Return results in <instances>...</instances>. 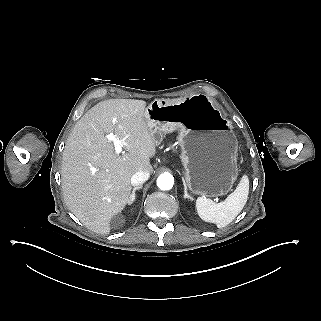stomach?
I'll list each match as a JSON object with an SVG mask.
<instances>
[{
	"mask_svg": "<svg viewBox=\"0 0 321 321\" xmlns=\"http://www.w3.org/2000/svg\"><path fill=\"white\" fill-rule=\"evenodd\" d=\"M145 118L156 142L177 132L183 182L192 195L217 198L231 191L239 175L237 133L205 96L155 98Z\"/></svg>",
	"mask_w": 321,
	"mask_h": 321,
	"instance_id": "obj_1",
	"label": "stomach"
}]
</instances>
